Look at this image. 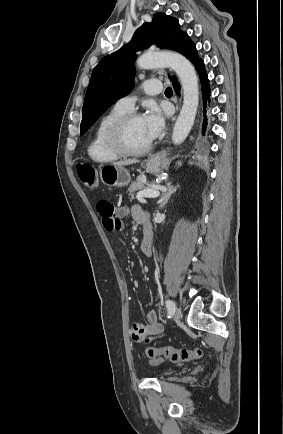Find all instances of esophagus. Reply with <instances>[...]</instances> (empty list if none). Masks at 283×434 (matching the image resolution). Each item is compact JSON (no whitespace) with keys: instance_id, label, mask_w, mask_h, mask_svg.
<instances>
[{"instance_id":"34e87169","label":"esophagus","mask_w":283,"mask_h":434,"mask_svg":"<svg viewBox=\"0 0 283 434\" xmlns=\"http://www.w3.org/2000/svg\"><path fill=\"white\" fill-rule=\"evenodd\" d=\"M181 100V99H180ZM166 151L165 150H161L158 153L155 154L154 159L160 160L166 157Z\"/></svg>"}]
</instances>
